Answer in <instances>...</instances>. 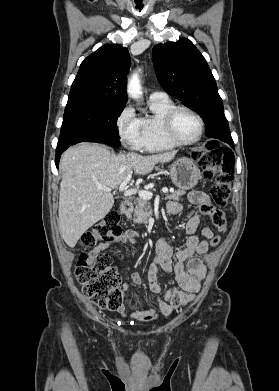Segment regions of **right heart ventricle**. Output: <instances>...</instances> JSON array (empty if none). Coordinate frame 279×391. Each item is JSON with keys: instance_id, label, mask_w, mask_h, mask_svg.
Returning a JSON list of instances; mask_svg holds the SVG:
<instances>
[{"instance_id": "obj_1", "label": "right heart ventricle", "mask_w": 279, "mask_h": 391, "mask_svg": "<svg viewBox=\"0 0 279 391\" xmlns=\"http://www.w3.org/2000/svg\"><path fill=\"white\" fill-rule=\"evenodd\" d=\"M174 105L169 97L150 98L149 114L140 118V148L147 152H161L174 149L164 131L163 117Z\"/></svg>"}]
</instances>
